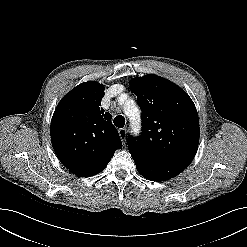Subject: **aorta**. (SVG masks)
<instances>
[{
	"label": "aorta",
	"mask_w": 247,
	"mask_h": 247,
	"mask_svg": "<svg viewBox=\"0 0 247 247\" xmlns=\"http://www.w3.org/2000/svg\"><path fill=\"white\" fill-rule=\"evenodd\" d=\"M134 106H132V108H133ZM129 109V108H128ZM139 115H138V113H135L134 115H133V117L131 118L132 119V124L135 126V125H137L138 124V120H139Z\"/></svg>",
	"instance_id": "obj_1"
}]
</instances>
